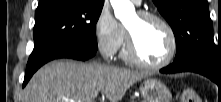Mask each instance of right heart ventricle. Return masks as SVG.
Instances as JSON below:
<instances>
[{
    "mask_svg": "<svg viewBox=\"0 0 221 102\" xmlns=\"http://www.w3.org/2000/svg\"><path fill=\"white\" fill-rule=\"evenodd\" d=\"M122 55L124 58H126V59L128 58L127 51L125 49H123Z\"/></svg>",
    "mask_w": 221,
    "mask_h": 102,
    "instance_id": "obj_1",
    "label": "right heart ventricle"
}]
</instances>
